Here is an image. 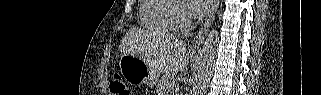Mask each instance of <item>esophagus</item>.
<instances>
[{
	"mask_svg": "<svg viewBox=\"0 0 321 95\" xmlns=\"http://www.w3.org/2000/svg\"><path fill=\"white\" fill-rule=\"evenodd\" d=\"M218 6H219V0H215L205 23L203 24L198 35L195 37V39L193 41L194 47H200L202 45V43L204 42L206 35H207V33H208V31L214 21Z\"/></svg>",
	"mask_w": 321,
	"mask_h": 95,
	"instance_id": "obj_1",
	"label": "esophagus"
}]
</instances>
